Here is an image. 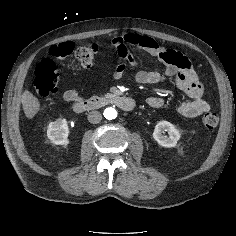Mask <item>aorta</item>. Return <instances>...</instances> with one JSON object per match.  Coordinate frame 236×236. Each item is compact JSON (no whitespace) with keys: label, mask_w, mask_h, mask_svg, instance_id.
Returning <instances> with one entry per match:
<instances>
[{"label":"aorta","mask_w":236,"mask_h":236,"mask_svg":"<svg viewBox=\"0 0 236 236\" xmlns=\"http://www.w3.org/2000/svg\"><path fill=\"white\" fill-rule=\"evenodd\" d=\"M104 117L109 120H113L117 117V111L113 107H108L104 111Z\"/></svg>","instance_id":"obj_1"}]
</instances>
